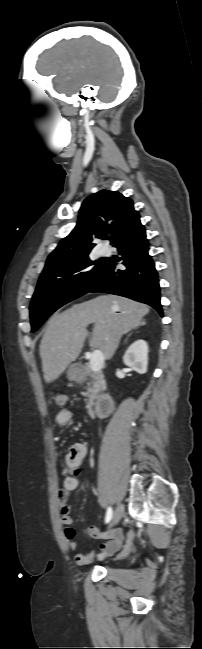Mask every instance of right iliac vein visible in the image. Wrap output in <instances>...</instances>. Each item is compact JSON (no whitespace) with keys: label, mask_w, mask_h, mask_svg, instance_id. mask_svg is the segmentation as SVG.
<instances>
[{"label":"right iliac vein","mask_w":202,"mask_h":649,"mask_svg":"<svg viewBox=\"0 0 202 649\" xmlns=\"http://www.w3.org/2000/svg\"><path fill=\"white\" fill-rule=\"evenodd\" d=\"M122 515H123V505L119 504L117 506V508L115 509L111 526L117 525L119 523Z\"/></svg>","instance_id":"right-iliac-vein-1"}]
</instances>
